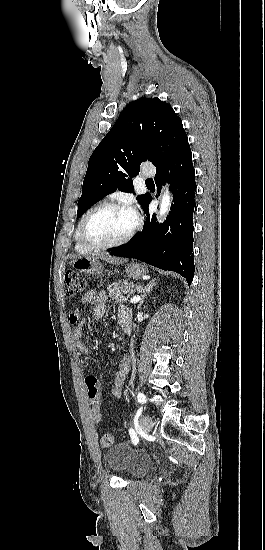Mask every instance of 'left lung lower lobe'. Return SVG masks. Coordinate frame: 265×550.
Instances as JSON below:
<instances>
[{
  "mask_svg": "<svg viewBox=\"0 0 265 550\" xmlns=\"http://www.w3.org/2000/svg\"><path fill=\"white\" fill-rule=\"evenodd\" d=\"M155 183L160 193L165 182L171 184L173 202L167 219L158 224L156 216L147 215L142 232L123 246L109 249L111 255L136 258L163 270L178 272L190 285L194 275L193 261V212L196 209L195 170L192 154L186 141L166 162L156 170Z\"/></svg>",
  "mask_w": 265,
  "mask_h": 550,
  "instance_id": "obj_1",
  "label": "left lung lower lobe"
}]
</instances>
